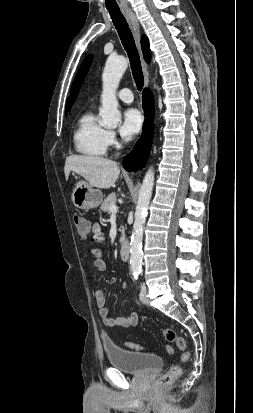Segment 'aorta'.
<instances>
[{
    "label": "aorta",
    "instance_id": "762f6f07",
    "mask_svg": "<svg viewBox=\"0 0 253 413\" xmlns=\"http://www.w3.org/2000/svg\"><path fill=\"white\" fill-rule=\"evenodd\" d=\"M127 67L128 61L123 56L109 57L106 61L102 74L103 91L101 95L102 107L100 108L101 124L105 127L115 128L121 121L116 90ZM153 185L154 170L151 167L144 176L135 211L130 242V268L133 273L141 272L143 228Z\"/></svg>",
    "mask_w": 253,
    "mask_h": 413
}]
</instances>
